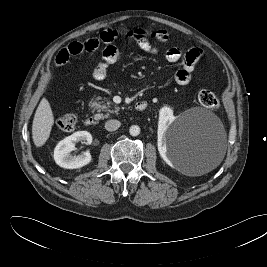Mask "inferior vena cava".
I'll list each match as a JSON object with an SVG mask.
<instances>
[{"mask_svg": "<svg viewBox=\"0 0 267 267\" xmlns=\"http://www.w3.org/2000/svg\"><path fill=\"white\" fill-rule=\"evenodd\" d=\"M120 126H121L120 121H118V120H114V119L108 120V121L105 123V129H106L107 131H115V130H117Z\"/></svg>", "mask_w": 267, "mask_h": 267, "instance_id": "obj_1", "label": "inferior vena cava"}]
</instances>
